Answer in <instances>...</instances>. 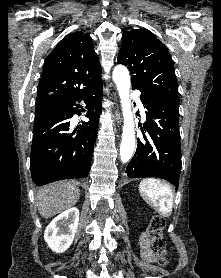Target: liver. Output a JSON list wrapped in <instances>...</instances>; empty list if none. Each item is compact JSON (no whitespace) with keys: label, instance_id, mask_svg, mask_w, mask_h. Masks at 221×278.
Returning <instances> with one entry per match:
<instances>
[{"label":"liver","instance_id":"obj_1","mask_svg":"<svg viewBox=\"0 0 221 278\" xmlns=\"http://www.w3.org/2000/svg\"><path fill=\"white\" fill-rule=\"evenodd\" d=\"M80 197V189L70 181H60L41 189L37 194V206L44 218L52 217L74 206Z\"/></svg>","mask_w":221,"mask_h":278}]
</instances>
